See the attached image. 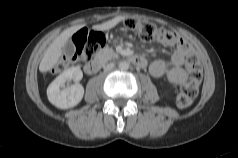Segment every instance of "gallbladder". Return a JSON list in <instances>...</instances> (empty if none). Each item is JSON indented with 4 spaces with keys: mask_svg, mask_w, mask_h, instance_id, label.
Returning a JSON list of instances; mask_svg holds the SVG:
<instances>
[{
    "mask_svg": "<svg viewBox=\"0 0 238 158\" xmlns=\"http://www.w3.org/2000/svg\"><path fill=\"white\" fill-rule=\"evenodd\" d=\"M64 52L65 55L70 58L73 56L74 52H75V45L72 41H68L65 45H64Z\"/></svg>",
    "mask_w": 238,
    "mask_h": 158,
    "instance_id": "obj_1",
    "label": "gallbladder"
}]
</instances>
